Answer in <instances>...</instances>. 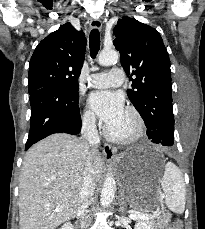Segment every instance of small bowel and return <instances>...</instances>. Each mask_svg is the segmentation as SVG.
Returning a JSON list of instances; mask_svg holds the SVG:
<instances>
[{"label":"small bowel","mask_w":205,"mask_h":229,"mask_svg":"<svg viewBox=\"0 0 205 229\" xmlns=\"http://www.w3.org/2000/svg\"><path fill=\"white\" fill-rule=\"evenodd\" d=\"M167 229H181V226L179 223H173Z\"/></svg>","instance_id":"c3829d8e"}]
</instances>
